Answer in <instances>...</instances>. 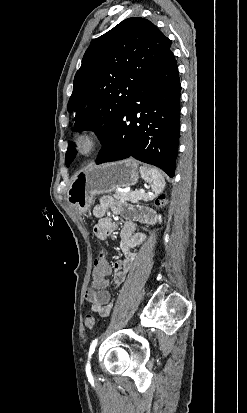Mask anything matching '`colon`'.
<instances>
[{
  "instance_id": "5ec220e1",
  "label": "colon",
  "mask_w": 247,
  "mask_h": 413,
  "mask_svg": "<svg viewBox=\"0 0 247 413\" xmlns=\"http://www.w3.org/2000/svg\"><path fill=\"white\" fill-rule=\"evenodd\" d=\"M169 203L168 199L165 196H160L157 199V204H160L162 207L167 206ZM108 258V253L106 251H101L99 253V258L92 260V275L94 276H103L106 277L109 275V262L106 260ZM84 325L88 330H94L96 322L95 317L91 314H86L84 316Z\"/></svg>"
}]
</instances>
